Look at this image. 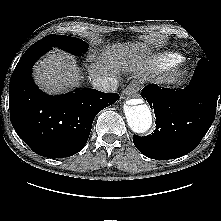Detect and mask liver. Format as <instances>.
<instances>
[{
    "mask_svg": "<svg viewBox=\"0 0 221 221\" xmlns=\"http://www.w3.org/2000/svg\"><path fill=\"white\" fill-rule=\"evenodd\" d=\"M146 50L147 46L143 43H119L107 47L97 63L91 66L89 77H116L122 68H128L129 71L139 69L143 65ZM33 77L38 86L49 94L68 91L79 85L81 80L78 67L71 56L59 50L52 51L35 65Z\"/></svg>",
    "mask_w": 221,
    "mask_h": 221,
    "instance_id": "liver-1",
    "label": "liver"
}]
</instances>
